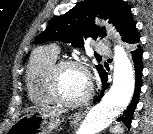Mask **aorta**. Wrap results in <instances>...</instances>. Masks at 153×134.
Here are the masks:
<instances>
[{
  "label": "aorta",
  "instance_id": "762f6f07",
  "mask_svg": "<svg viewBox=\"0 0 153 134\" xmlns=\"http://www.w3.org/2000/svg\"><path fill=\"white\" fill-rule=\"evenodd\" d=\"M135 88L134 71L125 50L117 46L114 55L113 84L102 100L88 113L77 134H97L128 106Z\"/></svg>",
  "mask_w": 153,
  "mask_h": 134
}]
</instances>
